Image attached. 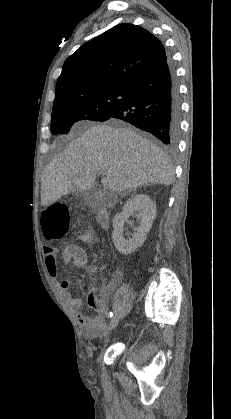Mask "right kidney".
<instances>
[{"label":"right kidney","mask_w":231,"mask_h":419,"mask_svg":"<svg viewBox=\"0 0 231 419\" xmlns=\"http://www.w3.org/2000/svg\"><path fill=\"white\" fill-rule=\"evenodd\" d=\"M139 212V227L132 238L126 239L123 235L124 224L128 218ZM156 216V204L146 194H139L129 198L123 207V211L113 218L112 239L116 249L124 255L131 254L138 247L142 246L146 240L147 233L150 231L153 220Z\"/></svg>","instance_id":"1"}]
</instances>
